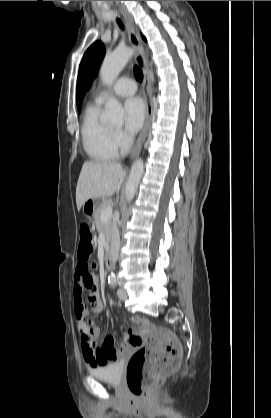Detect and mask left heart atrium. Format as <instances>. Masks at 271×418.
Listing matches in <instances>:
<instances>
[{"instance_id":"obj_1","label":"left heart atrium","mask_w":271,"mask_h":418,"mask_svg":"<svg viewBox=\"0 0 271 418\" xmlns=\"http://www.w3.org/2000/svg\"><path fill=\"white\" fill-rule=\"evenodd\" d=\"M125 127L128 132L136 133L143 125L146 117L145 105L139 98L128 99L124 105Z\"/></svg>"}]
</instances>
